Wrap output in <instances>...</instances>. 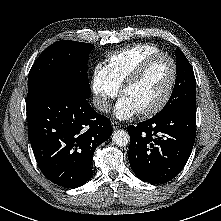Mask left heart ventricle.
<instances>
[{
  "label": "left heart ventricle",
  "instance_id": "1",
  "mask_svg": "<svg viewBox=\"0 0 221 221\" xmlns=\"http://www.w3.org/2000/svg\"><path fill=\"white\" fill-rule=\"evenodd\" d=\"M172 74V66L167 58L155 59L138 79L127 88L124 96L129 98L139 111L155 106L165 94Z\"/></svg>",
  "mask_w": 221,
  "mask_h": 221
}]
</instances>
